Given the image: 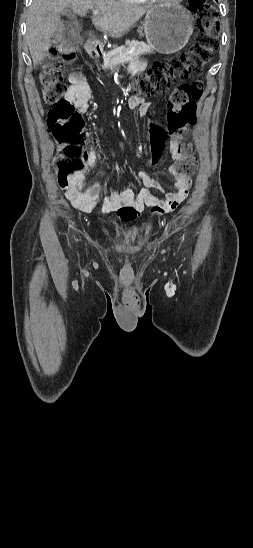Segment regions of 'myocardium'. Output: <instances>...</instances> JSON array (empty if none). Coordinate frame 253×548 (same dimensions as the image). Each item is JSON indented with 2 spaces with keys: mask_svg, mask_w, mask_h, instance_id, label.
<instances>
[{
  "mask_svg": "<svg viewBox=\"0 0 253 548\" xmlns=\"http://www.w3.org/2000/svg\"><path fill=\"white\" fill-rule=\"evenodd\" d=\"M151 1H156V2H170V1H173V0H151Z\"/></svg>",
  "mask_w": 253,
  "mask_h": 548,
  "instance_id": "f54148a6",
  "label": "myocardium"
}]
</instances>
